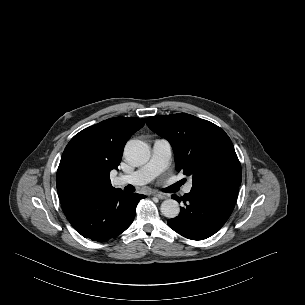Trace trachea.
Returning <instances> with one entry per match:
<instances>
[{"mask_svg": "<svg viewBox=\"0 0 305 305\" xmlns=\"http://www.w3.org/2000/svg\"><path fill=\"white\" fill-rule=\"evenodd\" d=\"M184 182L181 180L178 182L179 185H182Z\"/></svg>", "mask_w": 305, "mask_h": 305, "instance_id": "3493384b", "label": "trachea"}]
</instances>
